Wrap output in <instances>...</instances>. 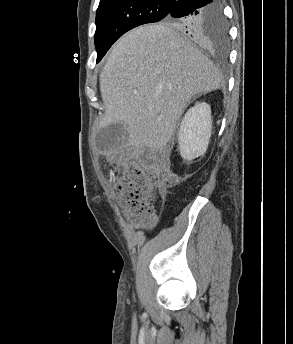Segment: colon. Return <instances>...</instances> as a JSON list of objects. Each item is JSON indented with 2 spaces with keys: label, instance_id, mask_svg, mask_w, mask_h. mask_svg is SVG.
I'll list each match as a JSON object with an SVG mask.
<instances>
[{
  "label": "colon",
  "instance_id": "obj_1",
  "mask_svg": "<svg viewBox=\"0 0 293 344\" xmlns=\"http://www.w3.org/2000/svg\"><path fill=\"white\" fill-rule=\"evenodd\" d=\"M153 179L140 167H129L124 179L118 184L120 206L126 217L136 227L151 226L156 219Z\"/></svg>",
  "mask_w": 293,
  "mask_h": 344
}]
</instances>
